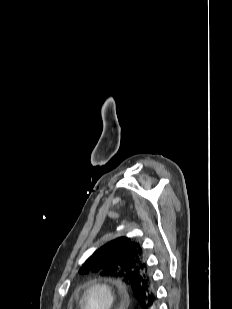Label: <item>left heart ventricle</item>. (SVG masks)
<instances>
[{
    "instance_id": "b2bd125f",
    "label": "left heart ventricle",
    "mask_w": 232,
    "mask_h": 309,
    "mask_svg": "<svg viewBox=\"0 0 232 309\" xmlns=\"http://www.w3.org/2000/svg\"><path fill=\"white\" fill-rule=\"evenodd\" d=\"M107 303L108 299L101 290H92L86 296V309H105Z\"/></svg>"
}]
</instances>
